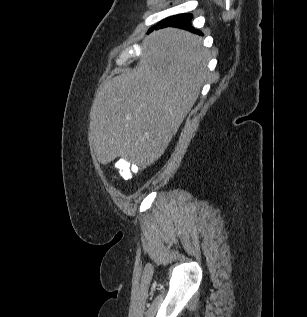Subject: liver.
Instances as JSON below:
<instances>
[{
	"instance_id": "1",
	"label": "liver",
	"mask_w": 307,
	"mask_h": 317,
	"mask_svg": "<svg viewBox=\"0 0 307 317\" xmlns=\"http://www.w3.org/2000/svg\"><path fill=\"white\" fill-rule=\"evenodd\" d=\"M208 55L202 39L188 31L148 35L137 66L105 82L94 99L89 141L99 162L159 159L199 96Z\"/></svg>"
}]
</instances>
